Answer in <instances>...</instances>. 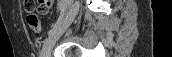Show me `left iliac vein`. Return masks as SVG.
Returning <instances> with one entry per match:
<instances>
[{"label": "left iliac vein", "instance_id": "obj_1", "mask_svg": "<svg viewBox=\"0 0 172 57\" xmlns=\"http://www.w3.org/2000/svg\"><path fill=\"white\" fill-rule=\"evenodd\" d=\"M80 4L79 2H75L70 9L65 21L60 24L58 27H56L53 32L49 35L47 40L45 41L42 52H41V57H50L52 47L55 44L56 40L59 38L61 33L71 24V22L74 20L75 16L77 15L79 11Z\"/></svg>", "mask_w": 172, "mask_h": 57}]
</instances>
